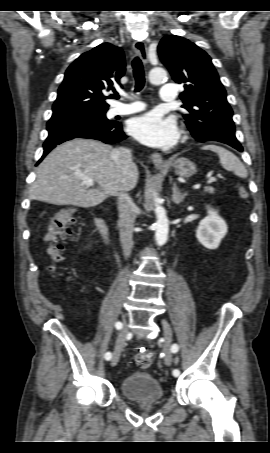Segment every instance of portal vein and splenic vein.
I'll list each match as a JSON object with an SVG mask.
<instances>
[{"instance_id": "portal-vein-and-splenic-vein-1", "label": "portal vein and splenic vein", "mask_w": 270, "mask_h": 453, "mask_svg": "<svg viewBox=\"0 0 270 453\" xmlns=\"http://www.w3.org/2000/svg\"><path fill=\"white\" fill-rule=\"evenodd\" d=\"M77 177L80 178L83 183L86 185V186H93L94 185V180L92 178H89L83 174H77ZM208 180H207V184H211L212 182L215 181V177L212 176V175H208Z\"/></svg>"}]
</instances>
